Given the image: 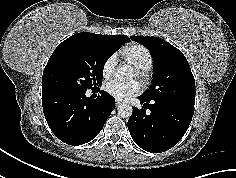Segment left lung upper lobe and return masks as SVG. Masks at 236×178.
<instances>
[{
	"label": "left lung upper lobe",
	"instance_id": "5c2ea615",
	"mask_svg": "<svg viewBox=\"0 0 236 178\" xmlns=\"http://www.w3.org/2000/svg\"><path fill=\"white\" fill-rule=\"evenodd\" d=\"M131 40L150 50L154 64L152 85L141 97L148 101L194 105L195 79L184 54L158 37L132 36Z\"/></svg>",
	"mask_w": 236,
	"mask_h": 178
}]
</instances>
